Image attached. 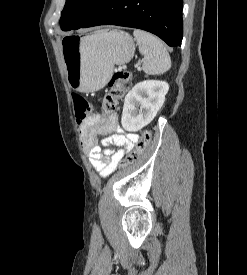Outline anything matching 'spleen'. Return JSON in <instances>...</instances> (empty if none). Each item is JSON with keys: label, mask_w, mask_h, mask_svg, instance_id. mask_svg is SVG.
<instances>
[{"label": "spleen", "mask_w": 247, "mask_h": 275, "mask_svg": "<svg viewBox=\"0 0 247 275\" xmlns=\"http://www.w3.org/2000/svg\"><path fill=\"white\" fill-rule=\"evenodd\" d=\"M133 35L140 53L144 56L143 71L146 74H162L170 69V55L159 38L140 29H135Z\"/></svg>", "instance_id": "spleen-1"}]
</instances>
